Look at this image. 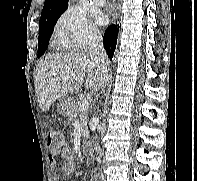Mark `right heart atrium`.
Masks as SVG:
<instances>
[{
  "instance_id": "right-heart-atrium-1",
  "label": "right heart atrium",
  "mask_w": 197,
  "mask_h": 181,
  "mask_svg": "<svg viewBox=\"0 0 197 181\" xmlns=\"http://www.w3.org/2000/svg\"><path fill=\"white\" fill-rule=\"evenodd\" d=\"M56 34L67 45L77 51H83L99 41L100 33L90 22L85 12L68 7L59 16Z\"/></svg>"
}]
</instances>
